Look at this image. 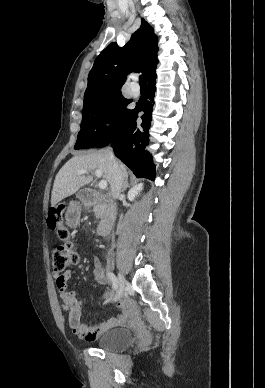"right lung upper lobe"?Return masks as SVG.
Listing matches in <instances>:
<instances>
[{
  "label": "right lung upper lobe",
  "mask_w": 265,
  "mask_h": 388,
  "mask_svg": "<svg viewBox=\"0 0 265 388\" xmlns=\"http://www.w3.org/2000/svg\"><path fill=\"white\" fill-rule=\"evenodd\" d=\"M158 40L153 28L142 19L140 28L120 48L116 42L108 45L96 58L88 75V86L84 99L93 94L120 89L126 76L142 72L147 80L156 75Z\"/></svg>",
  "instance_id": "obj_1"
}]
</instances>
